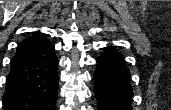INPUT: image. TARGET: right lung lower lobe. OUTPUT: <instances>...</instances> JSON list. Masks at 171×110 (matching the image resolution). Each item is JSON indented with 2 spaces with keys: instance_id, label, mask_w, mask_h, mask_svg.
<instances>
[{
  "instance_id": "right-lung-lower-lobe-1",
  "label": "right lung lower lobe",
  "mask_w": 171,
  "mask_h": 110,
  "mask_svg": "<svg viewBox=\"0 0 171 110\" xmlns=\"http://www.w3.org/2000/svg\"><path fill=\"white\" fill-rule=\"evenodd\" d=\"M58 59L44 34L18 46L3 95V110H55Z\"/></svg>"
}]
</instances>
